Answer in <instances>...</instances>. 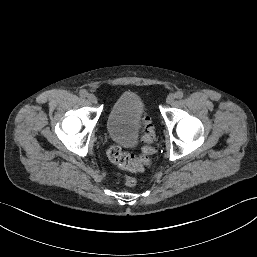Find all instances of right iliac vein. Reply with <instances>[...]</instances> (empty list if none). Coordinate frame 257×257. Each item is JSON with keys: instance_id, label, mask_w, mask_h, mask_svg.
Returning a JSON list of instances; mask_svg holds the SVG:
<instances>
[{"instance_id": "right-iliac-vein-1", "label": "right iliac vein", "mask_w": 257, "mask_h": 257, "mask_svg": "<svg viewBox=\"0 0 257 257\" xmlns=\"http://www.w3.org/2000/svg\"><path fill=\"white\" fill-rule=\"evenodd\" d=\"M87 98H88V100H89L91 103H93V104H96V103H97V98H96V96H95L94 94H92V93L88 94V95H87Z\"/></svg>"}]
</instances>
